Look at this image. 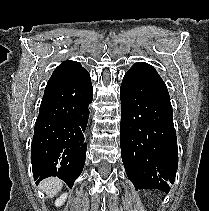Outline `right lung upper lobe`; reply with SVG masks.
Returning <instances> with one entry per match:
<instances>
[{
  "instance_id": "obj_1",
  "label": "right lung upper lobe",
  "mask_w": 209,
  "mask_h": 211,
  "mask_svg": "<svg viewBox=\"0 0 209 211\" xmlns=\"http://www.w3.org/2000/svg\"><path fill=\"white\" fill-rule=\"evenodd\" d=\"M84 69L80 63L76 61H65L61 63L53 72L50 77L45 92L54 88L55 86L69 80L76 75L79 71Z\"/></svg>"
}]
</instances>
